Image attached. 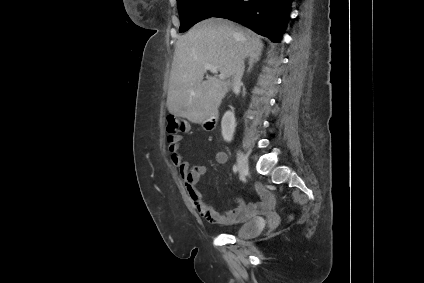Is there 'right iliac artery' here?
Listing matches in <instances>:
<instances>
[{
  "label": "right iliac artery",
  "instance_id": "1",
  "mask_svg": "<svg viewBox=\"0 0 424 283\" xmlns=\"http://www.w3.org/2000/svg\"><path fill=\"white\" fill-rule=\"evenodd\" d=\"M233 171L236 173L238 171V168L236 165L233 166Z\"/></svg>",
  "mask_w": 424,
  "mask_h": 283
}]
</instances>
